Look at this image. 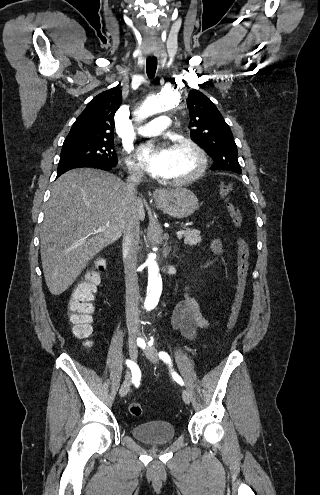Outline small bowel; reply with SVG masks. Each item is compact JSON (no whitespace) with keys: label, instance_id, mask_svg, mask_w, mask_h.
Returning <instances> with one entry per match:
<instances>
[{"label":"small bowel","instance_id":"1","mask_svg":"<svg viewBox=\"0 0 320 495\" xmlns=\"http://www.w3.org/2000/svg\"><path fill=\"white\" fill-rule=\"evenodd\" d=\"M211 246L215 254H222L223 247L218 238L212 240ZM171 320L173 327L190 341L196 339L199 329L211 327L210 320L201 313L198 301L189 294L188 289L184 298L175 306Z\"/></svg>","mask_w":320,"mask_h":495}]
</instances>
